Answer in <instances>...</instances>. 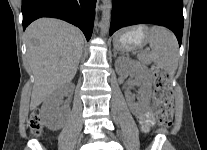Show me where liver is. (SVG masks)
<instances>
[{"label": "liver", "mask_w": 207, "mask_h": 150, "mask_svg": "<svg viewBox=\"0 0 207 150\" xmlns=\"http://www.w3.org/2000/svg\"><path fill=\"white\" fill-rule=\"evenodd\" d=\"M27 57L34 75L30 109L75 76L83 51L81 31L52 18H41L26 29Z\"/></svg>", "instance_id": "liver-1"}]
</instances>
